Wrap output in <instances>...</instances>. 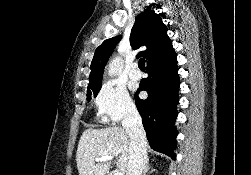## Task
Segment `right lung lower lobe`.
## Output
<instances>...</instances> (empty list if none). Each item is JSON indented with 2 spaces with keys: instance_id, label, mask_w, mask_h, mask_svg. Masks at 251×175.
Here are the masks:
<instances>
[{
  "instance_id": "obj_1",
  "label": "right lung lower lobe",
  "mask_w": 251,
  "mask_h": 175,
  "mask_svg": "<svg viewBox=\"0 0 251 175\" xmlns=\"http://www.w3.org/2000/svg\"><path fill=\"white\" fill-rule=\"evenodd\" d=\"M176 54L166 61L147 66L148 77L141 80L135 94L136 106L142 117L147 139L152 149L175 159L177 131L174 122L177 116L179 75ZM140 90L148 93V98L138 97Z\"/></svg>"
}]
</instances>
